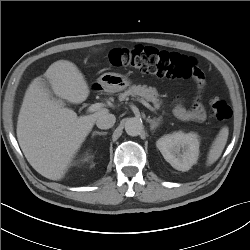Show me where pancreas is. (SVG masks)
Returning <instances> with one entry per match:
<instances>
[{
	"mask_svg": "<svg viewBox=\"0 0 250 250\" xmlns=\"http://www.w3.org/2000/svg\"><path fill=\"white\" fill-rule=\"evenodd\" d=\"M128 96H140L145 100L152 102L155 109H160L162 105V100L159 98L160 95L154 87H147L146 85H133L124 93L119 95V100H126Z\"/></svg>",
	"mask_w": 250,
	"mask_h": 250,
	"instance_id": "obj_1",
	"label": "pancreas"
}]
</instances>
